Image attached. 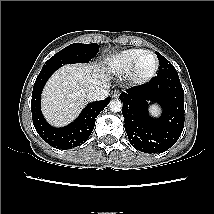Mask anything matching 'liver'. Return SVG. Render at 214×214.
I'll list each match as a JSON object with an SVG mask.
<instances>
[{"label":"liver","instance_id":"liver-1","mask_svg":"<svg viewBox=\"0 0 214 214\" xmlns=\"http://www.w3.org/2000/svg\"><path fill=\"white\" fill-rule=\"evenodd\" d=\"M108 77L97 64L66 65L47 82L42 93V110L55 126L75 119L87 102L86 89L107 84Z\"/></svg>","mask_w":214,"mask_h":214}]
</instances>
